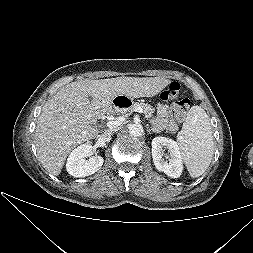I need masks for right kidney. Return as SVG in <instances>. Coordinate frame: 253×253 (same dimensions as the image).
<instances>
[{
    "mask_svg": "<svg viewBox=\"0 0 253 253\" xmlns=\"http://www.w3.org/2000/svg\"><path fill=\"white\" fill-rule=\"evenodd\" d=\"M94 148L90 144H83L75 148L69 155L66 163L68 173L74 177H85L97 172L103 165L101 156H91Z\"/></svg>",
    "mask_w": 253,
    "mask_h": 253,
    "instance_id": "ca27d5eb",
    "label": "right kidney"
}]
</instances>
